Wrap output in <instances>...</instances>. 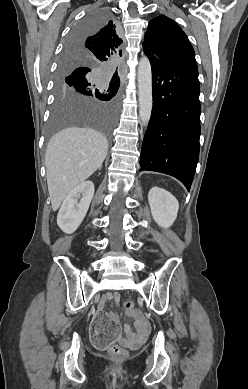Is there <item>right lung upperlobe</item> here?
Segmentation results:
<instances>
[{"instance_id":"cb5924a9","label":"right lung upper lobe","mask_w":248,"mask_h":389,"mask_svg":"<svg viewBox=\"0 0 248 389\" xmlns=\"http://www.w3.org/2000/svg\"><path fill=\"white\" fill-rule=\"evenodd\" d=\"M121 44L119 32L115 24L109 21L93 34L83 38L79 43H73L65 50H71L69 56L64 53L66 58L81 56L86 63L99 65L101 67H112L114 60L121 56ZM113 82L119 81L117 72L112 77Z\"/></svg>"}]
</instances>
